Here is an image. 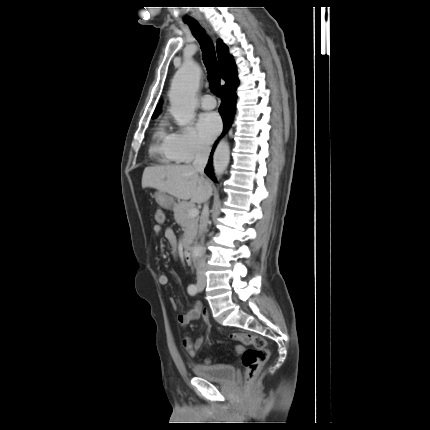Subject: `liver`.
<instances>
[{"mask_svg": "<svg viewBox=\"0 0 430 430\" xmlns=\"http://www.w3.org/2000/svg\"><path fill=\"white\" fill-rule=\"evenodd\" d=\"M146 187L197 204L206 202L213 191L212 182L202 178L191 165L146 167L142 175V188Z\"/></svg>", "mask_w": 430, "mask_h": 430, "instance_id": "1", "label": "liver"}]
</instances>
